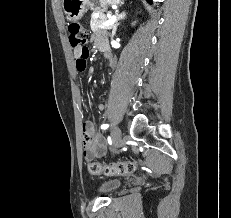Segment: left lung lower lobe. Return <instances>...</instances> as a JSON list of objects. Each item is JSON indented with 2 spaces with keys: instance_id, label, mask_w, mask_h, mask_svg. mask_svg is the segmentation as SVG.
Returning a JSON list of instances; mask_svg holds the SVG:
<instances>
[{
  "instance_id": "obj_1",
  "label": "left lung lower lobe",
  "mask_w": 231,
  "mask_h": 218,
  "mask_svg": "<svg viewBox=\"0 0 231 218\" xmlns=\"http://www.w3.org/2000/svg\"><path fill=\"white\" fill-rule=\"evenodd\" d=\"M149 3H151L152 2V0H147Z\"/></svg>"
}]
</instances>
